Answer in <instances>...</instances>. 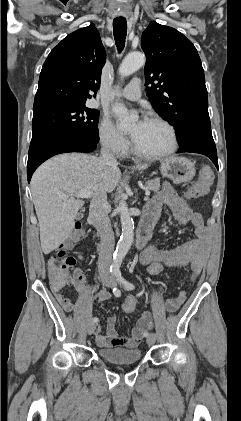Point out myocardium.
<instances>
[{"mask_svg": "<svg viewBox=\"0 0 241 421\" xmlns=\"http://www.w3.org/2000/svg\"><path fill=\"white\" fill-rule=\"evenodd\" d=\"M146 121L149 122H154V123H159L163 126H165L169 133H170V137H171V143L170 146L163 152L160 153H156V154H150V153H146L141 151L136 144L134 143L133 139L131 142V150L132 152L145 160H161L163 158H166L168 156H170L171 154H173L177 148H178V135H177V131L175 129V127L166 119L159 117V116H150L146 119Z\"/></svg>", "mask_w": 241, "mask_h": 421, "instance_id": "1", "label": "myocardium"}]
</instances>
